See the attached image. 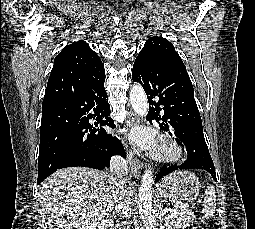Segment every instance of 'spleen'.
<instances>
[{"label":"spleen","mask_w":255,"mask_h":229,"mask_svg":"<svg viewBox=\"0 0 255 229\" xmlns=\"http://www.w3.org/2000/svg\"><path fill=\"white\" fill-rule=\"evenodd\" d=\"M216 209V194L212 185L208 184L205 190L204 203L202 213L206 218H211L215 214Z\"/></svg>","instance_id":"spleen-1"}]
</instances>
